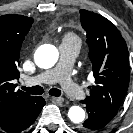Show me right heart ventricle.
I'll return each instance as SVG.
<instances>
[{
	"mask_svg": "<svg viewBox=\"0 0 133 133\" xmlns=\"http://www.w3.org/2000/svg\"><path fill=\"white\" fill-rule=\"evenodd\" d=\"M63 44L80 46V39L74 33H67L63 37Z\"/></svg>",
	"mask_w": 133,
	"mask_h": 133,
	"instance_id": "e07e8e85",
	"label": "right heart ventricle"
}]
</instances>
